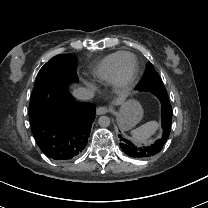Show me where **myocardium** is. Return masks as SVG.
Masks as SVG:
<instances>
[{"instance_id":"f54148a6","label":"myocardium","mask_w":208,"mask_h":208,"mask_svg":"<svg viewBox=\"0 0 208 208\" xmlns=\"http://www.w3.org/2000/svg\"><path fill=\"white\" fill-rule=\"evenodd\" d=\"M139 73V62L135 58L124 63L118 71L116 85L119 88L129 87L137 78Z\"/></svg>"}]
</instances>
